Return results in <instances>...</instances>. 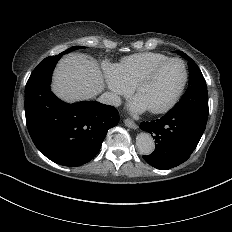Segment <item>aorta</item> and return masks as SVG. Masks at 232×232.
Wrapping results in <instances>:
<instances>
[{"label": "aorta", "instance_id": "762f6f07", "mask_svg": "<svg viewBox=\"0 0 232 232\" xmlns=\"http://www.w3.org/2000/svg\"><path fill=\"white\" fill-rule=\"evenodd\" d=\"M136 146L141 154L149 155L154 151L155 143L150 134L142 132L136 137Z\"/></svg>", "mask_w": 232, "mask_h": 232}]
</instances>
